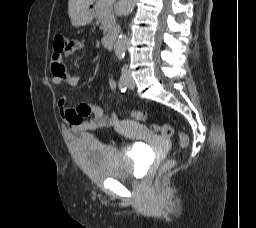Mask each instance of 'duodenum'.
<instances>
[{
	"label": "duodenum",
	"instance_id": "410a0bca",
	"mask_svg": "<svg viewBox=\"0 0 256 228\" xmlns=\"http://www.w3.org/2000/svg\"><path fill=\"white\" fill-rule=\"evenodd\" d=\"M117 38V31H111L103 37V44L107 49H112Z\"/></svg>",
	"mask_w": 256,
	"mask_h": 228
}]
</instances>
